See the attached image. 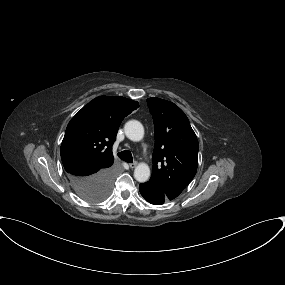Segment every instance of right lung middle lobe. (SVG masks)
Returning a JSON list of instances; mask_svg holds the SVG:
<instances>
[{
	"label": "right lung middle lobe",
	"mask_w": 285,
	"mask_h": 285,
	"mask_svg": "<svg viewBox=\"0 0 285 285\" xmlns=\"http://www.w3.org/2000/svg\"><path fill=\"white\" fill-rule=\"evenodd\" d=\"M108 195V191H92L81 197L88 202H100L106 199Z\"/></svg>",
	"instance_id": "dd1d6c3e"
}]
</instances>
